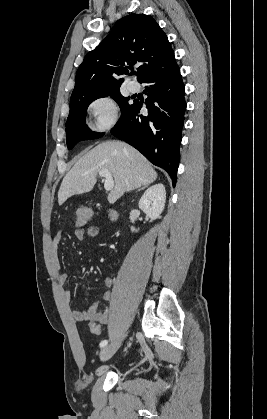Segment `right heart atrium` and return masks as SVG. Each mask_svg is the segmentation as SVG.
Instances as JSON below:
<instances>
[{
	"label": "right heart atrium",
	"instance_id": "right-heart-atrium-1",
	"mask_svg": "<svg viewBox=\"0 0 267 419\" xmlns=\"http://www.w3.org/2000/svg\"><path fill=\"white\" fill-rule=\"evenodd\" d=\"M88 112L93 119L92 130L105 132L111 129L118 120V107L109 96L94 99L88 106Z\"/></svg>",
	"mask_w": 267,
	"mask_h": 419
}]
</instances>
